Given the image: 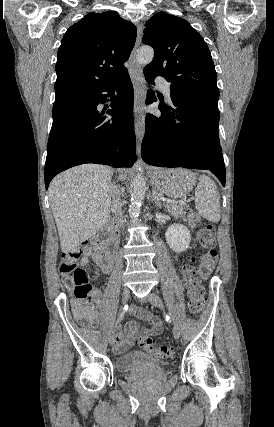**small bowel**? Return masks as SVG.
Here are the masks:
<instances>
[{
    "mask_svg": "<svg viewBox=\"0 0 274 427\" xmlns=\"http://www.w3.org/2000/svg\"><path fill=\"white\" fill-rule=\"evenodd\" d=\"M208 252L212 257H217L220 254L219 249L217 251ZM91 260L96 263L103 274L111 272L113 265L111 255L98 241L84 249L83 256L80 259V265L86 267L90 264ZM200 266L202 269L198 271V276L201 278H209L212 274L210 270L215 268V263L213 261H203ZM72 308L76 319L83 320L89 325L95 323L97 315L92 304L75 300L72 304ZM137 316L151 326L142 327L136 321H129L126 324L125 331H118L113 337V348L116 353L122 354L130 349L135 344L139 335L158 336L163 331V323L159 317L147 313L142 317L139 315Z\"/></svg>",
    "mask_w": 274,
    "mask_h": 427,
    "instance_id": "c3829d8e",
    "label": "small bowel"
}]
</instances>
